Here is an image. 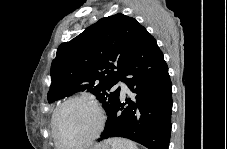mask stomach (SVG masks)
<instances>
[{
	"label": "stomach",
	"instance_id": "1",
	"mask_svg": "<svg viewBox=\"0 0 227 149\" xmlns=\"http://www.w3.org/2000/svg\"><path fill=\"white\" fill-rule=\"evenodd\" d=\"M94 149H109V146L107 144H101V145H98L96 148Z\"/></svg>",
	"mask_w": 227,
	"mask_h": 149
}]
</instances>
